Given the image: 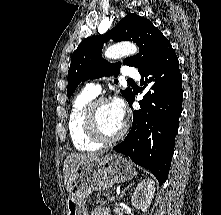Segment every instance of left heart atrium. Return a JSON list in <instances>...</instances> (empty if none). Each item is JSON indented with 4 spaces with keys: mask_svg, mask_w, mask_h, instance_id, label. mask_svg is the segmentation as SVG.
Wrapping results in <instances>:
<instances>
[{
    "mask_svg": "<svg viewBox=\"0 0 221 215\" xmlns=\"http://www.w3.org/2000/svg\"><path fill=\"white\" fill-rule=\"evenodd\" d=\"M110 107L112 109V112L114 113L115 117L123 122L125 117V106L123 101L120 98H114L110 102Z\"/></svg>",
    "mask_w": 221,
    "mask_h": 215,
    "instance_id": "obj_1",
    "label": "left heart atrium"
}]
</instances>
